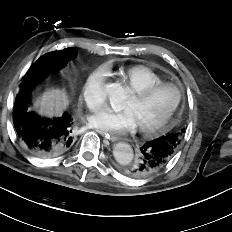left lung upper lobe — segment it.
<instances>
[{
  "mask_svg": "<svg viewBox=\"0 0 232 232\" xmlns=\"http://www.w3.org/2000/svg\"><path fill=\"white\" fill-rule=\"evenodd\" d=\"M184 132V129L181 131H172L170 133H167L159 138H157L159 141H162L163 143H165L166 145H168L173 153H175L181 143L182 140V133ZM129 166H126L124 168V172H126V170L129 169ZM130 175H134V174H130Z\"/></svg>",
  "mask_w": 232,
  "mask_h": 232,
  "instance_id": "1",
  "label": "left lung upper lobe"
}]
</instances>
